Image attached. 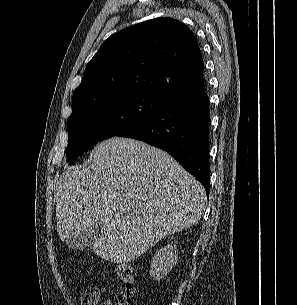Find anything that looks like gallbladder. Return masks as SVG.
I'll return each mask as SVG.
<instances>
[{"instance_id": "gallbladder-1", "label": "gallbladder", "mask_w": 297, "mask_h": 305, "mask_svg": "<svg viewBox=\"0 0 297 305\" xmlns=\"http://www.w3.org/2000/svg\"><path fill=\"white\" fill-rule=\"evenodd\" d=\"M102 234V227L94 224L86 230L81 231L77 235L72 236L66 242L68 246L74 250H84L94 244Z\"/></svg>"}]
</instances>
